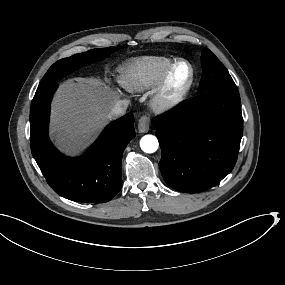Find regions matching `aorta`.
Wrapping results in <instances>:
<instances>
[{"label": "aorta", "mask_w": 285, "mask_h": 285, "mask_svg": "<svg viewBox=\"0 0 285 285\" xmlns=\"http://www.w3.org/2000/svg\"><path fill=\"white\" fill-rule=\"evenodd\" d=\"M158 146V140L153 135H145L140 140V147L146 153H154Z\"/></svg>", "instance_id": "1"}]
</instances>
